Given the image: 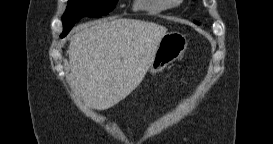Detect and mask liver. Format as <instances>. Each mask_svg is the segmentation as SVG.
Segmentation results:
<instances>
[{
	"label": "liver",
	"instance_id": "1",
	"mask_svg": "<svg viewBox=\"0 0 273 144\" xmlns=\"http://www.w3.org/2000/svg\"><path fill=\"white\" fill-rule=\"evenodd\" d=\"M166 33L135 19L83 25L68 49L73 87L91 108L113 107L142 82Z\"/></svg>",
	"mask_w": 273,
	"mask_h": 144
}]
</instances>
